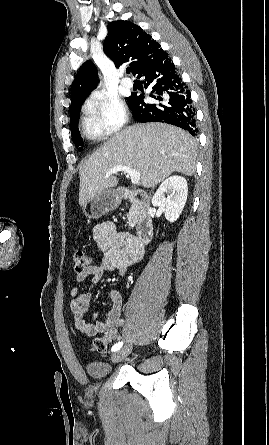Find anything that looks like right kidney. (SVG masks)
Wrapping results in <instances>:
<instances>
[{
  "label": "right kidney",
  "mask_w": 269,
  "mask_h": 445,
  "mask_svg": "<svg viewBox=\"0 0 269 445\" xmlns=\"http://www.w3.org/2000/svg\"><path fill=\"white\" fill-rule=\"evenodd\" d=\"M168 193L170 194L167 195ZM187 196L186 179L175 175L161 183L152 198V204L164 208L165 218L170 222H175L184 209Z\"/></svg>",
  "instance_id": "ca27d5eb"
}]
</instances>
